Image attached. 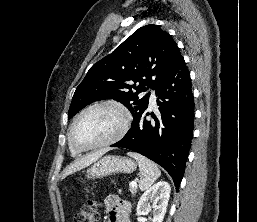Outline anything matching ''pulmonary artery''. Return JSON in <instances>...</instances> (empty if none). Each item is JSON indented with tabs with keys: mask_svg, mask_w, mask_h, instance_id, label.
Instances as JSON below:
<instances>
[{
	"mask_svg": "<svg viewBox=\"0 0 257 222\" xmlns=\"http://www.w3.org/2000/svg\"><path fill=\"white\" fill-rule=\"evenodd\" d=\"M155 101H156L155 94L153 91H151L150 103L152 106L155 105Z\"/></svg>",
	"mask_w": 257,
	"mask_h": 222,
	"instance_id": "obj_1",
	"label": "pulmonary artery"
}]
</instances>
